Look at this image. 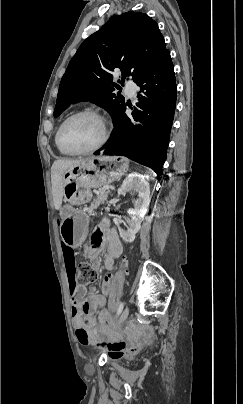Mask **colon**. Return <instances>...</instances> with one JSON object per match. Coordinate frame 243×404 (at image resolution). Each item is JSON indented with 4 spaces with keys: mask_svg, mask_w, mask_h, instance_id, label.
Segmentation results:
<instances>
[{
    "mask_svg": "<svg viewBox=\"0 0 243 404\" xmlns=\"http://www.w3.org/2000/svg\"><path fill=\"white\" fill-rule=\"evenodd\" d=\"M98 274L94 266L89 262H81L78 265V281L80 283L88 284L97 280ZM113 278L106 276L103 280V293L110 295L112 292ZM100 347L108 349L115 355L130 354L136 352L140 347L145 344L143 339L134 340H109L99 341L97 343Z\"/></svg>",
    "mask_w": 243,
    "mask_h": 404,
    "instance_id": "colon-1",
    "label": "colon"
}]
</instances>
